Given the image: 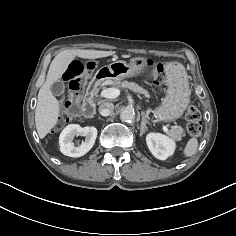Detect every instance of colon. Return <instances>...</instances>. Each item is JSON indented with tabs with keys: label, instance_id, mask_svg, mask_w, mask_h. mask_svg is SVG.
Instances as JSON below:
<instances>
[{
	"label": "colon",
	"instance_id": "obj_1",
	"mask_svg": "<svg viewBox=\"0 0 236 236\" xmlns=\"http://www.w3.org/2000/svg\"><path fill=\"white\" fill-rule=\"evenodd\" d=\"M90 71V63L81 60H73L65 71L67 81L66 112L76 115L81 107V95L86 83V75ZM154 83L163 85L166 77V68L158 64L152 68ZM187 132L191 137H199L202 131L201 114L195 106H189L186 112Z\"/></svg>",
	"mask_w": 236,
	"mask_h": 236
}]
</instances>
